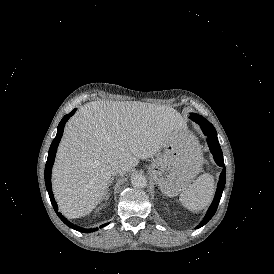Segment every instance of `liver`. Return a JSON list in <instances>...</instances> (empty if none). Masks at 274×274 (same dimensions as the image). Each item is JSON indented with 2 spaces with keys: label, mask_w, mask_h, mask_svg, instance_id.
I'll list each match as a JSON object with an SVG mask.
<instances>
[{
  "label": "liver",
  "mask_w": 274,
  "mask_h": 274,
  "mask_svg": "<svg viewBox=\"0 0 274 274\" xmlns=\"http://www.w3.org/2000/svg\"><path fill=\"white\" fill-rule=\"evenodd\" d=\"M187 132L175 109L140 101H92L66 124L52 170V189L69 219L89 214L113 177L158 154L172 133Z\"/></svg>",
  "instance_id": "obj_1"
}]
</instances>
